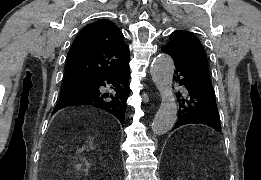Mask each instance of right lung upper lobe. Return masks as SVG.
Segmentation results:
<instances>
[{
  "label": "right lung upper lobe",
  "instance_id": "cb5924a9",
  "mask_svg": "<svg viewBox=\"0 0 261 180\" xmlns=\"http://www.w3.org/2000/svg\"><path fill=\"white\" fill-rule=\"evenodd\" d=\"M130 52L123 34L109 20L86 25L67 55L64 81H94L128 65Z\"/></svg>",
  "mask_w": 261,
  "mask_h": 180
}]
</instances>
